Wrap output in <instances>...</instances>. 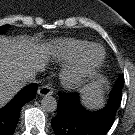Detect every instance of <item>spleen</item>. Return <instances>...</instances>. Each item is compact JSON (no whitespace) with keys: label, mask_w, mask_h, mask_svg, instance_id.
I'll list each match as a JSON object with an SVG mask.
<instances>
[{"label":"spleen","mask_w":135,"mask_h":135,"mask_svg":"<svg viewBox=\"0 0 135 135\" xmlns=\"http://www.w3.org/2000/svg\"><path fill=\"white\" fill-rule=\"evenodd\" d=\"M104 80H96L84 86L80 92L82 94V104L89 109L101 108L104 104Z\"/></svg>","instance_id":"1"}]
</instances>
